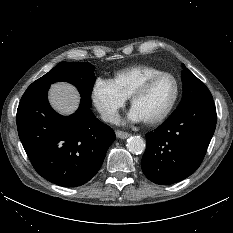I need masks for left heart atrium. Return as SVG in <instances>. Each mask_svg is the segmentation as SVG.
<instances>
[{
    "instance_id": "1",
    "label": "left heart atrium",
    "mask_w": 233,
    "mask_h": 233,
    "mask_svg": "<svg viewBox=\"0 0 233 233\" xmlns=\"http://www.w3.org/2000/svg\"><path fill=\"white\" fill-rule=\"evenodd\" d=\"M128 118L131 121H140V120H142L140 115L134 109H131V111L128 114Z\"/></svg>"
}]
</instances>
